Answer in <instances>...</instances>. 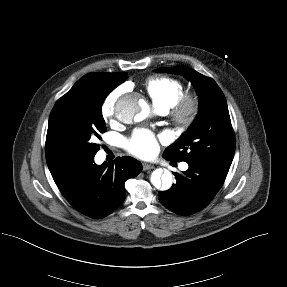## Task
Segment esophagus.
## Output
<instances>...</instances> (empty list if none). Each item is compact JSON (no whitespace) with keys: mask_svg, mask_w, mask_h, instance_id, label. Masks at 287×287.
I'll use <instances>...</instances> for the list:
<instances>
[{"mask_svg":"<svg viewBox=\"0 0 287 287\" xmlns=\"http://www.w3.org/2000/svg\"><path fill=\"white\" fill-rule=\"evenodd\" d=\"M153 168H154V166L151 165V164H148V163H144V164H143V170H144V171L151 170V169H153Z\"/></svg>","mask_w":287,"mask_h":287,"instance_id":"1","label":"esophagus"}]
</instances>
